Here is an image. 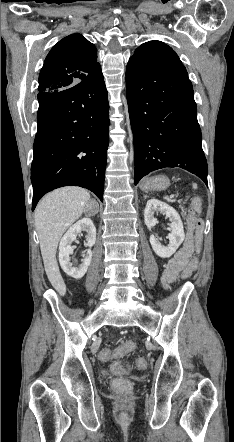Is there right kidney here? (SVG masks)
<instances>
[{
    "label": "right kidney",
    "instance_id": "obj_1",
    "mask_svg": "<svg viewBox=\"0 0 234 442\" xmlns=\"http://www.w3.org/2000/svg\"><path fill=\"white\" fill-rule=\"evenodd\" d=\"M81 231L87 232L86 246H88L89 249L84 251L82 254V264L75 267L72 266L70 262V255L74 251V247H72L71 244L76 240L77 235L81 233ZM95 242L96 228L90 218H82L69 228V230L62 237L59 245V262L67 275L76 280L81 279L85 275L92 259V251L90 248L95 244Z\"/></svg>",
    "mask_w": 234,
    "mask_h": 442
}]
</instances>
